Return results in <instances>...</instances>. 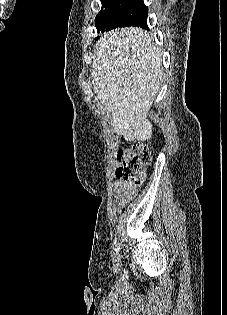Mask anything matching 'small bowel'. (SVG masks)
<instances>
[{"instance_id": "obj_1", "label": "small bowel", "mask_w": 227, "mask_h": 315, "mask_svg": "<svg viewBox=\"0 0 227 315\" xmlns=\"http://www.w3.org/2000/svg\"><path fill=\"white\" fill-rule=\"evenodd\" d=\"M137 189L132 188L126 183H115L114 184V194L115 197L121 202H128L136 193Z\"/></svg>"}]
</instances>
